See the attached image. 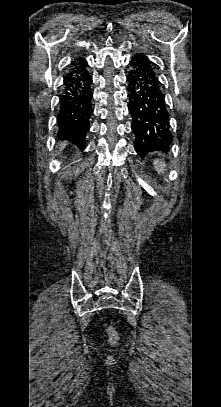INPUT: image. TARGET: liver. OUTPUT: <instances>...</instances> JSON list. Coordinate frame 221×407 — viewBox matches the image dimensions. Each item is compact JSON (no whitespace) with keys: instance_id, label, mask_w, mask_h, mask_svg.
Returning <instances> with one entry per match:
<instances>
[{"instance_id":"6515ba94","label":"liver","mask_w":221,"mask_h":407,"mask_svg":"<svg viewBox=\"0 0 221 407\" xmlns=\"http://www.w3.org/2000/svg\"><path fill=\"white\" fill-rule=\"evenodd\" d=\"M59 146H60V149H63L65 146V143H61Z\"/></svg>"}]
</instances>
